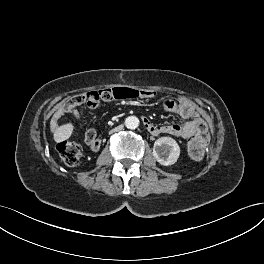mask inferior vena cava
Segmentation results:
<instances>
[{
  "label": "inferior vena cava",
  "instance_id": "602c4592",
  "mask_svg": "<svg viewBox=\"0 0 264 264\" xmlns=\"http://www.w3.org/2000/svg\"><path fill=\"white\" fill-rule=\"evenodd\" d=\"M123 129H124V125L123 124H120L119 126L110 129L109 130V133L110 134H114V133H117L118 131H121Z\"/></svg>",
  "mask_w": 264,
  "mask_h": 264
}]
</instances>
